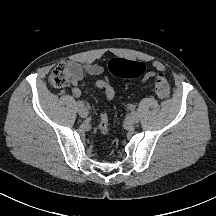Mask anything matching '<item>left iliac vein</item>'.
Instances as JSON below:
<instances>
[{
  "mask_svg": "<svg viewBox=\"0 0 216 216\" xmlns=\"http://www.w3.org/2000/svg\"><path fill=\"white\" fill-rule=\"evenodd\" d=\"M129 119L132 123H138L139 122V114L136 111L131 112Z\"/></svg>",
  "mask_w": 216,
  "mask_h": 216,
  "instance_id": "4c4485c4",
  "label": "left iliac vein"
}]
</instances>
